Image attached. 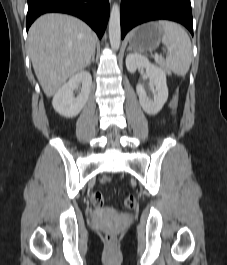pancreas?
Segmentation results:
<instances>
[{"instance_id": "obj_1", "label": "pancreas", "mask_w": 227, "mask_h": 265, "mask_svg": "<svg viewBox=\"0 0 227 265\" xmlns=\"http://www.w3.org/2000/svg\"><path fill=\"white\" fill-rule=\"evenodd\" d=\"M167 73L170 74V72L166 69Z\"/></svg>"}]
</instances>
